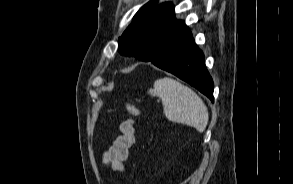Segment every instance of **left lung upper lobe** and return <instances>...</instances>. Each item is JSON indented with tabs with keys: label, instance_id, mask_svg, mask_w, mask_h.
<instances>
[{
	"label": "left lung upper lobe",
	"instance_id": "1",
	"mask_svg": "<svg viewBox=\"0 0 293 184\" xmlns=\"http://www.w3.org/2000/svg\"><path fill=\"white\" fill-rule=\"evenodd\" d=\"M157 0H151L135 14V20L119 38L118 49L122 55H134L137 59L147 61L152 54L147 50L151 39L163 33L164 26L174 16L171 3H162L150 11Z\"/></svg>",
	"mask_w": 293,
	"mask_h": 184
}]
</instances>
